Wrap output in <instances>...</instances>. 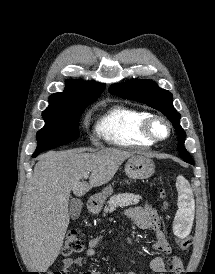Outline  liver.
Segmentation results:
<instances>
[{
	"mask_svg": "<svg viewBox=\"0 0 215 274\" xmlns=\"http://www.w3.org/2000/svg\"><path fill=\"white\" fill-rule=\"evenodd\" d=\"M131 156L114 148L95 153L73 149L40 156L19 216L22 245L36 270L46 272L59 255L70 221V192L81 197L108 183ZM86 172L91 173L88 183L81 182Z\"/></svg>",
	"mask_w": 215,
	"mask_h": 274,
	"instance_id": "6515ba94",
	"label": "liver"
}]
</instances>
